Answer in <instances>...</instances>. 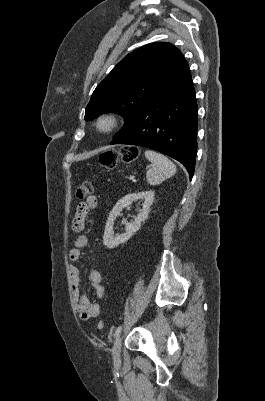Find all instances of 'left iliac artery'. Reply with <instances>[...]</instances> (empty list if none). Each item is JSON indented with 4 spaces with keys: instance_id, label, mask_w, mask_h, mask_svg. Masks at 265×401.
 <instances>
[{
    "instance_id": "obj_1",
    "label": "left iliac artery",
    "mask_w": 265,
    "mask_h": 401,
    "mask_svg": "<svg viewBox=\"0 0 265 401\" xmlns=\"http://www.w3.org/2000/svg\"><path fill=\"white\" fill-rule=\"evenodd\" d=\"M121 330H122V326L120 325V326H118L117 329L115 330L114 337L119 336Z\"/></svg>"
}]
</instances>
